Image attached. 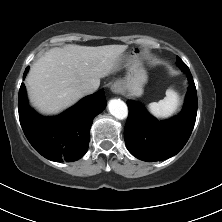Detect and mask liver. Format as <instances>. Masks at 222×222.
I'll return each instance as SVG.
<instances>
[{
  "label": "liver",
  "instance_id": "obj_1",
  "mask_svg": "<svg viewBox=\"0 0 222 222\" xmlns=\"http://www.w3.org/2000/svg\"><path fill=\"white\" fill-rule=\"evenodd\" d=\"M127 45L80 46L68 44L48 50L31 67L26 79L32 105L52 115L76 103L83 83L97 88L100 79L120 67Z\"/></svg>",
  "mask_w": 222,
  "mask_h": 222
}]
</instances>
